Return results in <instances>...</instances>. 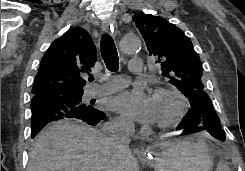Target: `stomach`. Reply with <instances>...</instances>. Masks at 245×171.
I'll return each mask as SVG.
<instances>
[{
  "label": "stomach",
  "instance_id": "stomach-1",
  "mask_svg": "<svg viewBox=\"0 0 245 171\" xmlns=\"http://www.w3.org/2000/svg\"><path fill=\"white\" fill-rule=\"evenodd\" d=\"M215 146L200 134L161 147L148 163L155 171H212Z\"/></svg>",
  "mask_w": 245,
  "mask_h": 171
}]
</instances>
